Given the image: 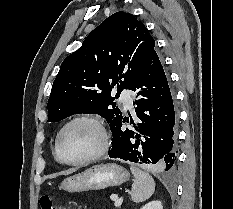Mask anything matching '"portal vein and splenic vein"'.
I'll return each mask as SVG.
<instances>
[{"label":"portal vein and splenic vein","instance_id":"1","mask_svg":"<svg viewBox=\"0 0 233 209\" xmlns=\"http://www.w3.org/2000/svg\"><path fill=\"white\" fill-rule=\"evenodd\" d=\"M112 201H115V206H118V196L116 194H113L110 196Z\"/></svg>","mask_w":233,"mask_h":209}]
</instances>
